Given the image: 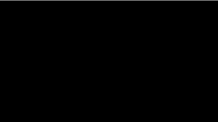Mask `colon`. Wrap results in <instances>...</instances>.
I'll return each mask as SVG.
<instances>
[{"label": "colon", "instance_id": "5ec220e1", "mask_svg": "<svg viewBox=\"0 0 218 122\" xmlns=\"http://www.w3.org/2000/svg\"><path fill=\"white\" fill-rule=\"evenodd\" d=\"M172 65H173V60L171 58H169V57H164L162 59L161 70L163 72H168Z\"/></svg>", "mask_w": 218, "mask_h": 122}]
</instances>
